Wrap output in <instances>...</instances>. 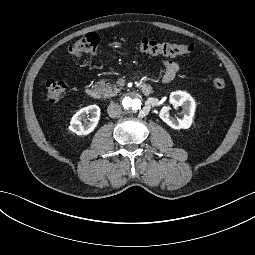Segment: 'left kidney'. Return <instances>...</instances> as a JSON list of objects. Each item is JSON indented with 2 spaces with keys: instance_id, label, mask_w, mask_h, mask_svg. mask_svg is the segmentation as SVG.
I'll return each mask as SVG.
<instances>
[{
  "instance_id": "obj_1",
  "label": "left kidney",
  "mask_w": 255,
  "mask_h": 255,
  "mask_svg": "<svg viewBox=\"0 0 255 255\" xmlns=\"http://www.w3.org/2000/svg\"><path fill=\"white\" fill-rule=\"evenodd\" d=\"M170 104L173 106H181L183 108L180 119L171 117L169 114L170 107L164 106L160 111V118L170 127L174 129H188L193 121L196 104L191 95L185 91H175L170 94Z\"/></svg>"
}]
</instances>
